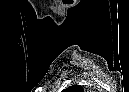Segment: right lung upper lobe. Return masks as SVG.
Returning a JSON list of instances; mask_svg holds the SVG:
<instances>
[{"instance_id": "right-lung-upper-lobe-1", "label": "right lung upper lobe", "mask_w": 129, "mask_h": 92, "mask_svg": "<svg viewBox=\"0 0 129 92\" xmlns=\"http://www.w3.org/2000/svg\"><path fill=\"white\" fill-rule=\"evenodd\" d=\"M71 88H77V89H79V90L82 89L80 86H72V87H69V88L63 90V92H69V91H71Z\"/></svg>"}]
</instances>
